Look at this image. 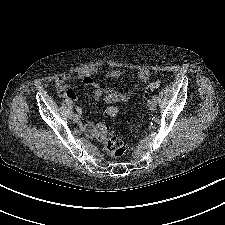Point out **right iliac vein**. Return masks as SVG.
<instances>
[{
    "label": "right iliac vein",
    "mask_w": 225,
    "mask_h": 225,
    "mask_svg": "<svg viewBox=\"0 0 225 225\" xmlns=\"http://www.w3.org/2000/svg\"><path fill=\"white\" fill-rule=\"evenodd\" d=\"M73 120H74V122H76V123H78L79 121H80V117H79V115H74L73 116Z\"/></svg>",
    "instance_id": "63e3f726"
}]
</instances>
